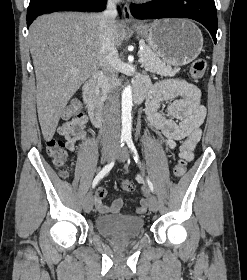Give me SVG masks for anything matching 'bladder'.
Masks as SVG:
<instances>
[{
	"mask_svg": "<svg viewBox=\"0 0 247 280\" xmlns=\"http://www.w3.org/2000/svg\"><path fill=\"white\" fill-rule=\"evenodd\" d=\"M95 228L103 236L115 240H129L138 237L145 222L140 217L104 215L95 219Z\"/></svg>",
	"mask_w": 247,
	"mask_h": 280,
	"instance_id": "31cf9c89",
	"label": "bladder"
}]
</instances>
